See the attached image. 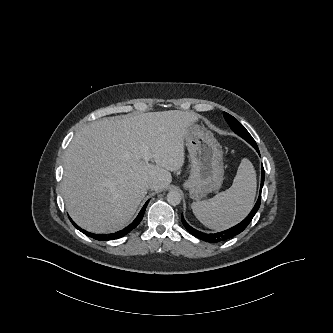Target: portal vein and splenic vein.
<instances>
[{
  "instance_id": "portal-vein-and-splenic-vein-1",
  "label": "portal vein and splenic vein",
  "mask_w": 333,
  "mask_h": 333,
  "mask_svg": "<svg viewBox=\"0 0 333 333\" xmlns=\"http://www.w3.org/2000/svg\"><path fill=\"white\" fill-rule=\"evenodd\" d=\"M151 158V154L149 153V151L147 149H144L143 151V159L145 161H148Z\"/></svg>"
}]
</instances>
